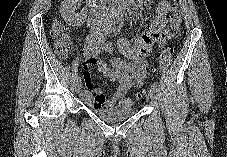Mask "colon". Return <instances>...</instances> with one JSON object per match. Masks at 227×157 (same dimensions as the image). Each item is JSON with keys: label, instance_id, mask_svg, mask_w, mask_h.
I'll use <instances>...</instances> for the list:
<instances>
[{"label": "colon", "instance_id": "1", "mask_svg": "<svg viewBox=\"0 0 227 157\" xmlns=\"http://www.w3.org/2000/svg\"><path fill=\"white\" fill-rule=\"evenodd\" d=\"M180 26H181V17L178 14L176 8H173L169 23L166 27V30L163 36L164 40L169 41L177 38L180 34ZM50 36L53 42L56 55L61 59L67 58V56L69 55L72 49V42L68 36V28L59 19H55L53 21L51 30H50ZM171 61H172V47L166 43L159 57V70L161 72H165L169 68ZM144 94H145L144 91H140L137 97L141 98ZM133 104H134V100L132 98H124L120 102L121 107H131Z\"/></svg>", "mask_w": 227, "mask_h": 157}]
</instances>
